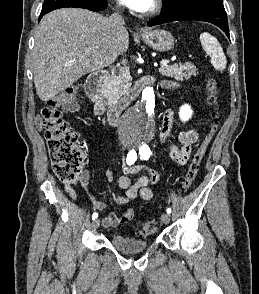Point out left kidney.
I'll return each mask as SVG.
<instances>
[{
    "label": "left kidney",
    "mask_w": 259,
    "mask_h": 294,
    "mask_svg": "<svg viewBox=\"0 0 259 294\" xmlns=\"http://www.w3.org/2000/svg\"><path fill=\"white\" fill-rule=\"evenodd\" d=\"M193 111L189 105H183L179 110V117L182 122L188 121L192 117Z\"/></svg>",
    "instance_id": "obj_1"
}]
</instances>
